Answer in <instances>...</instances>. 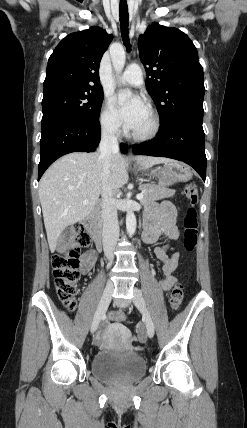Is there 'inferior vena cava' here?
<instances>
[{
	"label": "inferior vena cava",
	"instance_id": "1",
	"mask_svg": "<svg viewBox=\"0 0 247 428\" xmlns=\"http://www.w3.org/2000/svg\"><path fill=\"white\" fill-rule=\"evenodd\" d=\"M116 126H111L102 131L99 146V160L102 162V180L104 189L102 192V219H103V249L109 260L113 259L114 247L119 239V225L117 217L116 201L113 198V190L108 185L112 169V159L119 154V145L115 135Z\"/></svg>",
	"mask_w": 247,
	"mask_h": 428
}]
</instances>
